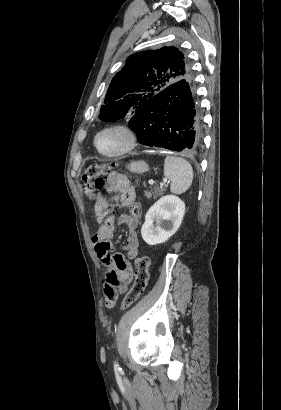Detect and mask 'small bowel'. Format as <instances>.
<instances>
[{
	"mask_svg": "<svg viewBox=\"0 0 281 410\" xmlns=\"http://www.w3.org/2000/svg\"><path fill=\"white\" fill-rule=\"evenodd\" d=\"M107 190L119 193L125 207L131 208L132 204H137L134 188L123 174L111 173L107 179ZM94 212L99 228L92 237V243L97 257L107 269L104 289L106 301L111 297L114 304L117 292L124 291L133 278L131 260L138 255L139 249L138 213L131 212V214L122 215L117 221L110 213L109 202L101 192L97 194ZM117 222L127 227V241L124 247L126 256L121 253H111L110 239L113 237Z\"/></svg>",
	"mask_w": 281,
	"mask_h": 410,
	"instance_id": "small-bowel-1",
	"label": "small bowel"
}]
</instances>
